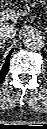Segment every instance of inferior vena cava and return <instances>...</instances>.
I'll list each match as a JSON object with an SVG mask.
<instances>
[{"instance_id": "1", "label": "inferior vena cava", "mask_w": 47, "mask_h": 129, "mask_svg": "<svg viewBox=\"0 0 47 129\" xmlns=\"http://www.w3.org/2000/svg\"><path fill=\"white\" fill-rule=\"evenodd\" d=\"M15 34H16V29L12 25L3 24L0 27V39L1 40H8L10 38H13Z\"/></svg>"}]
</instances>
